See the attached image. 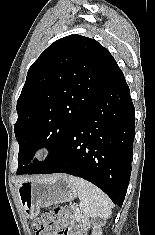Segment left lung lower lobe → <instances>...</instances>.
Instances as JSON below:
<instances>
[{"mask_svg": "<svg viewBox=\"0 0 155 235\" xmlns=\"http://www.w3.org/2000/svg\"><path fill=\"white\" fill-rule=\"evenodd\" d=\"M135 109L119 67L77 121L53 159L35 174L81 177L122 206L130 180Z\"/></svg>", "mask_w": 155, "mask_h": 235, "instance_id": "left-lung-lower-lobe-1", "label": "left lung lower lobe"}]
</instances>
